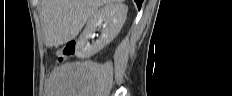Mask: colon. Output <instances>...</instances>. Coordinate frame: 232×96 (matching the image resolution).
<instances>
[{"label": "colon", "instance_id": "colon-1", "mask_svg": "<svg viewBox=\"0 0 232 96\" xmlns=\"http://www.w3.org/2000/svg\"><path fill=\"white\" fill-rule=\"evenodd\" d=\"M76 49V42L69 41L67 42L60 50L57 51V57L59 60H66L71 58Z\"/></svg>", "mask_w": 232, "mask_h": 96}]
</instances>
